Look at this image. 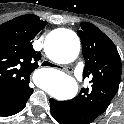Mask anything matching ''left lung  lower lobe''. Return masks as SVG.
<instances>
[{"instance_id":"left-lung-lower-lobe-1","label":"left lung lower lobe","mask_w":124,"mask_h":124,"mask_svg":"<svg viewBox=\"0 0 124 124\" xmlns=\"http://www.w3.org/2000/svg\"><path fill=\"white\" fill-rule=\"evenodd\" d=\"M50 110L53 117L60 123V124H75L71 120V116L69 113V108L66 101H57L55 99H50Z\"/></svg>"}]
</instances>
